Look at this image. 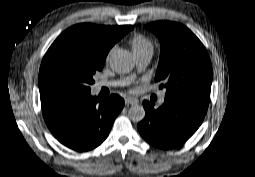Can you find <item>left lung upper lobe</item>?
<instances>
[{"label":"left lung upper lobe","instance_id":"obj_1","mask_svg":"<svg viewBox=\"0 0 255 177\" xmlns=\"http://www.w3.org/2000/svg\"><path fill=\"white\" fill-rule=\"evenodd\" d=\"M159 38L161 54L155 81L164 82L165 97L210 96L212 67L201 41L185 26L158 21L145 25Z\"/></svg>","mask_w":255,"mask_h":177}]
</instances>
